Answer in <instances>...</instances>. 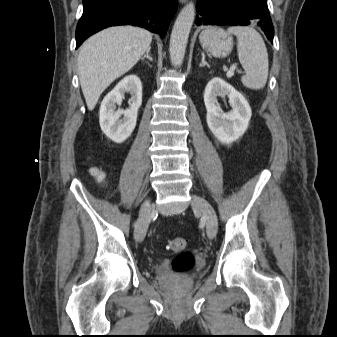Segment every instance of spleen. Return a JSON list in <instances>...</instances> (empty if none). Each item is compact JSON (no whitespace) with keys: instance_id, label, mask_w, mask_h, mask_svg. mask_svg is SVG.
<instances>
[{"instance_id":"spleen-1","label":"spleen","mask_w":337,"mask_h":337,"mask_svg":"<svg viewBox=\"0 0 337 337\" xmlns=\"http://www.w3.org/2000/svg\"><path fill=\"white\" fill-rule=\"evenodd\" d=\"M227 32L237 37L238 57L245 71V75L241 77L243 85L253 90L264 88L269 62L261 35L251 26H232Z\"/></svg>"}]
</instances>
